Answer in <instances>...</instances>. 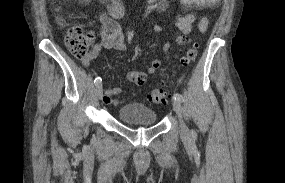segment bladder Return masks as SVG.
<instances>
[{
    "instance_id": "1",
    "label": "bladder",
    "mask_w": 285,
    "mask_h": 183,
    "mask_svg": "<svg viewBox=\"0 0 285 183\" xmlns=\"http://www.w3.org/2000/svg\"><path fill=\"white\" fill-rule=\"evenodd\" d=\"M119 119L124 123L155 124L157 114L151 108L140 103H129L118 111Z\"/></svg>"
}]
</instances>
